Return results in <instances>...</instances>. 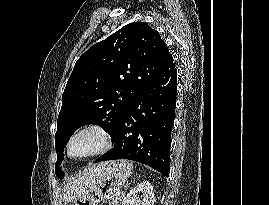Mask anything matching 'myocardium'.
Returning a JSON list of instances; mask_svg holds the SVG:
<instances>
[{"label": "myocardium", "instance_id": "1", "mask_svg": "<svg viewBox=\"0 0 269 205\" xmlns=\"http://www.w3.org/2000/svg\"><path fill=\"white\" fill-rule=\"evenodd\" d=\"M87 131L96 132L102 139V145L97 150L91 153H88L86 155H83V156L72 155L71 153L72 142L78 135ZM112 146H113V137L110 131L107 129V127L103 125L102 123L92 122V123H87L85 125L80 126L71 134L67 142L66 150H67V155L70 158L75 159V160H85V159H89V158H93V157L105 154L112 148Z\"/></svg>", "mask_w": 269, "mask_h": 205}]
</instances>
